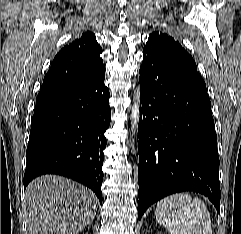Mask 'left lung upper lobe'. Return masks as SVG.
Wrapping results in <instances>:
<instances>
[{
    "instance_id": "left-lung-upper-lobe-1",
    "label": "left lung upper lobe",
    "mask_w": 241,
    "mask_h": 234,
    "mask_svg": "<svg viewBox=\"0 0 241 234\" xmlns=\"http://www.w3.org/2000/svg\"><path fill=\"white\" fill-rule=\"evenodd\" d=\"M144 50L152 52L174 65L197 70L195 61L187 51L178 41L165 33L153 32L150 34Z\"/></svg>"
}]
</instances>
